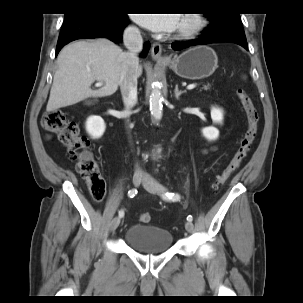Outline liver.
Instances as JSON below:
<instances>
[{"label": "liver", "mask_w": 303, "mask_h": 303, "mask_svg": "<svg viewBox=\"0 0 303 303\" xmlns=\"http://www.w3.org/2000/svg\"><path fill=\"white\" fill-rule=\"evenodd\" d=\"M124 52L107 39L77 41L65 46L58 55L47 112L74 105L89 97H106L119 86ZM142 74L139 66L138 76ZM99 79L104 85L92 90Z\"/></svg>", "instance_id": "obj_1"}]
</instances>
